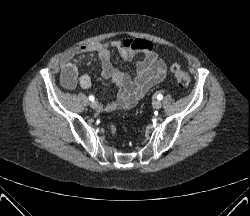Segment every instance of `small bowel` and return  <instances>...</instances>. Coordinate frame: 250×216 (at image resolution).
I'll return each mask as SVG.
<instances>
[{
	"mask_svg": "<svg viewBox=\"0 0 250 216\" xmlns=\"http://www.w3.org/2000/svg\"><path fill=\"white\" fill-rule=\"evenodd\" d=\"M111 50H116L124 60H131L137 53L143 58L137 63L133 76L115 69L111 63ZM87 53L95 54L101 63L103 78L117 87L116 100L104 105L106 111L129 109L154 85L160 83L166 74V66L159 58L150 41L145 39L113 40L109 43H92L81 46L67 54L61 62V83L67 90L79 85L83 89L91 87L88 74L79 75V64Z\"/></svg>",
	"mask_w": 250,
	"mask_h": 216,
	"instance_id": "obj_1",
	"label": "small bowel"
}]
</instances>
